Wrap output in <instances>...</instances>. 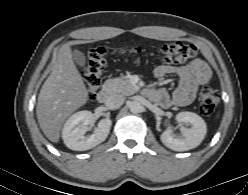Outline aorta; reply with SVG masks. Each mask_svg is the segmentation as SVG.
Listing matches in <instances>:
<instances>
[{
    "label": "aorta",
    "instance_id": "aorta-1",
    "mask_svg": "<svg viewBox=\"0 0 248 195\" xmlns=\"http://www.w3.org/2000/svg\"><path fill=\"white\" fill-rule=\"evenodd\" d=\"M129 108L132 113H139L142 110V105L138 101H131Z\"/></svg>",
    "mask_w": 248,
    "mask_h": 195
}]
</instances>
